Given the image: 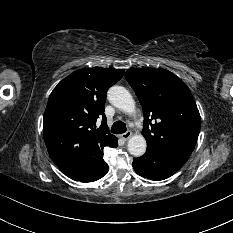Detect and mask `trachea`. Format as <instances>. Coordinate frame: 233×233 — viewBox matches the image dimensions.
<instances>
[{
    "label": "trachea",
    "mask_w": 233,
    "mask_h": 233,
    "mask_svg": "<svg viewBox=\"0 0 233 233\" xmlns=\"http://www.w3.org/2000/svg\"><path fill=\"white\" fill-rule=\"evenodd\" d=\"M127 130L126 124L122 121H116L111 128V132L114 134L125 133Z\"/></svg>",
    "instance_id": "3493384b"
}]
</instances>
